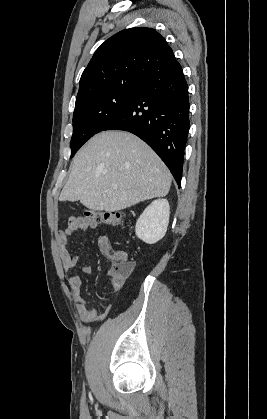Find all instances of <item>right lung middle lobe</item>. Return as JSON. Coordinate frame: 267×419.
Segmentation results:
<instances>
[{
    "label": "right lung middle lobe",
    "mask_w": 267,
    "mask_h": 419,
    "mask_svg": "<svg viewBox=\"0 0 267 419\" xmlns=\"http://www.w3.org/2000/svg\"><path fill=\"white\" fill-rule=\"evenodd\" d=\"M139 85L125 86L86 97L75 104L71 157L93 135L114 119L138 92Z\"/></svg>",
    "instance_id": "right-lung-middle-lobe-1"
}]
</instances>
